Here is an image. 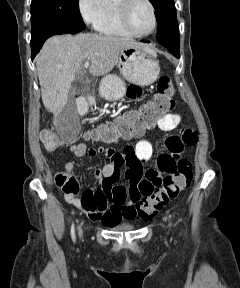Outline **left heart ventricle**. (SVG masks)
Segmentation results:
<instances>
[{
    "mask_svg": "<svg viewBox=\"0 0 240 288\" xmlns=\"http://www.w3.org/2000/svg\"><path fill=\"white\" fill-rule=\"evenodd\" d=\"M131 25L138 33H148L153 29L154 20L149 5L141 0L131 10Z\"/></svg>",
    "mask_w": 240,
    "mask_h": 288,
    "instance_id": "b2bd125f",
    "label": "left heart ventricle"
}]
</instances>
